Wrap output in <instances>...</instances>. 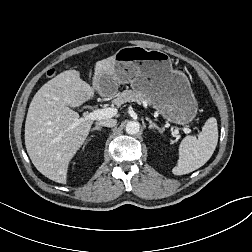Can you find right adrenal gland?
<instances>
[{
  "instance_id": "obj_1",
  "label": "right adrenal gland",
  "mask_w": 252,
  "mask_h": 252,
  "mask_svg": "<svg viewBox=\"0 0 252 252\" xmlns=\"http://www.w3.org/2000/svg\"><path fill=\"white\" fill-rule=\"evenodd\" d=\"M95 130H102V127L96 126V127H94L91 131H95Z\"/></svg>"
}]
</instances>
